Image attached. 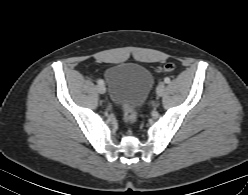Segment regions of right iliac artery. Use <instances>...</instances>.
Returning a JSON list of instances; mask_svg holds the SVG:
<instances>
[{"label": "right iliac artery", "mask_w": 248, "mask_h": 195, "mask_svg": "<svg viewBox=\"0 0 248 195\" xmlns=\"http://www.w3.org/2000/svg\"><path fill=\"white\" fill-rule=\"evenodd\" d=\"M97 83H98L99 85H103V84H104L103 80H98Z\"/></svg>", "instance_id": "right-iliac-artery-1"}]
</instances>
